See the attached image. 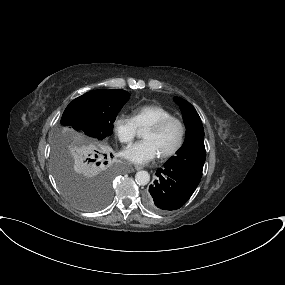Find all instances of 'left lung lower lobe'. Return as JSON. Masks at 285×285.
<instances>
[{
  "instance_id": "1",
  "label": "left lung lower lobe",
  "mask_w": 285,
  "mask_h": 285,
  "mask_svg": "<svg viewBox=\"0 0 285 285\" xmlns=\"http://www.w3.org/2000/svg\"><path fill=\"white\" fill-rule=\"evenodd\" d=\"M156 175L159 179L149 186L144 197L146 206L156 212H169L182 207L201 179L186 170L167 164L157 169Z\"/></svg>"
}]
</instances>
